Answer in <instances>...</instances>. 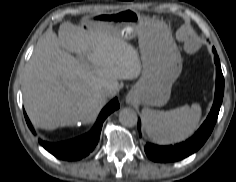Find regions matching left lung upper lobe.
Wrapping results in <instances>:
<instances>
[{"instance_id": "obj_1", "label": "left lung upper lobe", "mask_w": 236, "mask_h": 182, "mask_svg": "<svg viewBox=\"0 0 236 182\" xmlns=\"http://www.w3.org/2000/svg\"><path fill=\"white\" fill-rule=\"evenodd\" d=\"M213 52L215 53V57H214V61H215V63H217L218 61H219V57H218V55H217V53H216V51H215V49L213 48ZM218 58H217V57Z\"/></svg>"}]
</instances>
